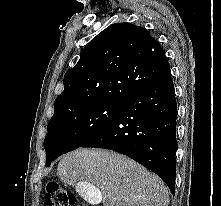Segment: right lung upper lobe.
<instances>
[{"label":"right lung upper lobe","instance_id":"cb5924a9","mask_svg":"<svg viewBox=\"0 0 221 206\" xmlns=\"http://www.w3.org/2000/svg\"><path fill=\"white\" fill-rule=\"evenodd\" d=\"M168 69L164 50L145 28L112 24L86 45L76 66L66 72L54 114L93 103L122 105Z\"/></svg>","mask_w":221,"mask_h":206}]
</instances>
